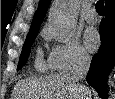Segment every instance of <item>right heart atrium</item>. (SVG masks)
I'll use <instances>...</instances> for the list:
<instances>
[{
    "label": "right heart atrium",
    "mask_w": 115,
    "mask_h": 99,
    "mask_svg": "<svg viewBox=\"0 0 115 99\" xmlns=\"http://www.w3.org/2000/svg\"><path fill=\"white\" fill-rule=\"evenodd\" d=\"M43 37L52 40L49 27L43 29ZM89 55L77 38H72L64 43H54L48 56L49 67L57 72H66L72 67L86 63Z\"/></svg>",
    "instance_id": "d8ad5b80"
}]
</instances>
